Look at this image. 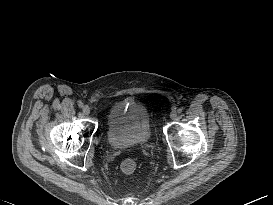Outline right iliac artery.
I'll use <instances>...</instances> for the list:
<instances>
[{
    "mask_svg": "<svg viewBox=\"0 0 273 205\" xmlns=\"http://www.w3.org/2000/svg\"><path fill=\"white\" fill-rule=\"evenodd\" d=\"M78 106H79L80 108H82V107H83V103H82L81 101H79V102H78Z\"/></svg>",
    "mask_w": 273,
    "mask_h": 205,
    "instance_id": "82829eb1",
    "label": "right iliac artery"
}]
</instances>
